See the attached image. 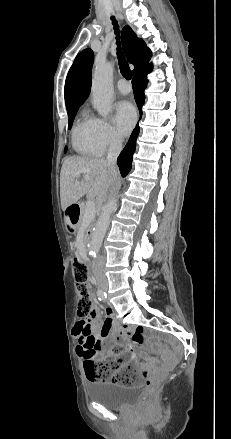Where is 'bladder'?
I'll return each instance as SVG.
<instances>
[{"mask_svg":"<svg viewBox=\"0 0 231 439\" xmlns=\"http://www.w3.org/2000/svg\"><path fill=\"white\" fill-rule=\"evenodd\" d=\"M141 392L138 385L125 386L116 385L106 381H95L88 385V397L106 408H122L130 402L136 400Z\"/></svg>","mask_w":231,"mask_h":439,"instance_id":"obj_1","label":"bladder"}]
</instances>
